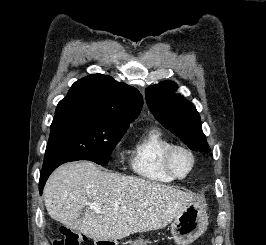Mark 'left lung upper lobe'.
Here are the masks:
<instances>
[{"label":"left lung upper lobe","mask_w":266,"mask_h":245,"mask_svg":"<svg viewBox=\"0 0 266 245\" xmlns=\"http://www.w3.org/2000/svg\"><path fill=\"white\" fill-rule=\"evenodd\" d=\"M176 89L177 85L168 80L148 87L145 97L150 111L190 149L206 154L210 148L202 132L199 113L191 102L174 94Z\"/></svg>","instance_id":"left-lung-upper-lobe-1"}]
</instances>
